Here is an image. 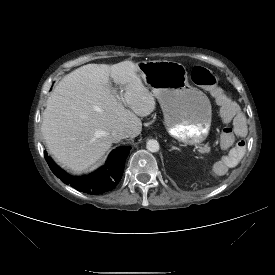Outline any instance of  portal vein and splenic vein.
<instances>
[{
  "label": "portal vein and splenic vein",
  "mask_w": 275,
  "mask_h": 275,
  "mask_svg": "<svg viewBox=\"0 0 275 275\" xmlns=\"http://www.w3.org/2000/svg\"><path fill=\"white\" fill-rule=\"evenodd\" d=\"M121 99V98H119ZM210 151V147H204V148H201L200 152L202 153H205V152H209Z\"/></svg>",
  "instance_id": "obj_1"
}]
</instances>
